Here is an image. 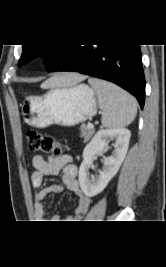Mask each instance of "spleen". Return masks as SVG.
Here are the masks:
<instances>
[{
  "mask_svg": "<svg viewBox=\"0 0 166 267\" xmlns=\"http://www.w3.org/2000/svg\"><path fill=\"white\" fill-rule=\"evenodd\" d=\"M88 82L97 93L104 127L123 128L135 119L137 102L133 96L104 80L91 78Z\"/></svg>",
  "mask_w": 166,
  "mask_h": 267,
  "instance_id": "obj_1",
  "label": "spleen"
}]
</instances>
